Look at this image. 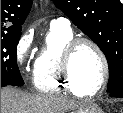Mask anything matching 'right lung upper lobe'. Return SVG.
Here are the masks:
<instances>
[{"label":"right lung upper lobe","instance_id":"1","mask_svg":"<svg viewBox=\"0 0 123 113\" xmlns=\"http://www.w3.org/2000/svg\"><path fill=\"white\" fill-rule=\"evenodd\" d=\"M32 0H1V36L21 34Z\"/></svg>","mask_w":123,"mask_h":113}]
</instances>
